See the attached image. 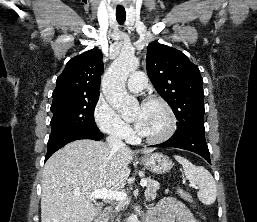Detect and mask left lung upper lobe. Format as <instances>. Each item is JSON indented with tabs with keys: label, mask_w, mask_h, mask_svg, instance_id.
Segmentation results:
<instances>
[{
	"label": "left lung upper lobe",
	"mask_w": 257,
	"mask_h": 222,
	"mask_svg": "<svg viewBox=\"0 0 257 222\" xmlns=\"http://www.w3.org/2000/svg\"><path fill=\"white\" fill-rule=\"evenodd\" d=\"M147 48L148 76L178 120L174 134L205 132L203 81L198 67L181 51L157 41Z\"/></svg>",
	"instance_id": "5c2ea615"
}]
</instances>
